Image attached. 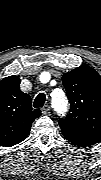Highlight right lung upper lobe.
Here are the masks:
<instances>
[{
  "mask_svg": "<svg viewBox=\"0 0 101 180\" xmlns=\"http://www.w3.org/2000/svg\"><path fill=\"white\" fill-rule=\"evenodd\" d=\"M18 76L0 81V145L10 147L25 140L41 111L32 108L30 96L20 88Z\"/></svg>",
  "mask_w": 101,
  "mask_h": 180,
  "instance_id": "right-lung-upper-lobe-1",
  "label": "right lung upper lobe"
}]
</instances>
